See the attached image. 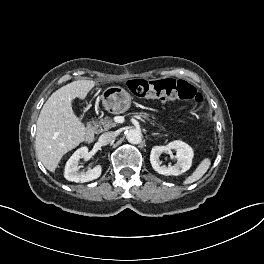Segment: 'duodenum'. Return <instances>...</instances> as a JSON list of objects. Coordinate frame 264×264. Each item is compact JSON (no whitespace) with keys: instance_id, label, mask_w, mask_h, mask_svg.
Returning <instances> with one entry per match:
<instances>
[{"instance_id":"obj_1","label":"duodenum","mask_w":264,"mask_h":264,"mask_svg":"<svg viewBox=\"0 0 264 264\" xmlns=\"http://www.w3.org/2000/svg\"><path fill=\"white\" fill-rule=\"evenodd\" d=\"M94 137H95V134H94L93 129L89 128L86 131V134H85V140H86V142L91 143L94 140Z\"/></svg>"}]
</instances>
